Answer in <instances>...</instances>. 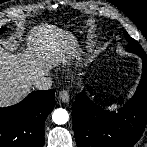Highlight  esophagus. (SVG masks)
I'll use <instances>...</instances> for the list:
<instances>
[{
    "instance_id": "esophagus-1",
    "label": "esophagus",
    "mask_w": 147,
    "mask_h": 147,
    "mask_svg": "<svg viewBox=\"0 0 147 147\" xmlns=\"http://www.w3.org/2000/svg\"><path fill=\"white\" fill-rule=\"evenodd\" d=\"M59 99L62 102L67 103L70 99V95H69L68 91L65 89L61 90L59 93Z\"/></svg>"
}]
</instances>
